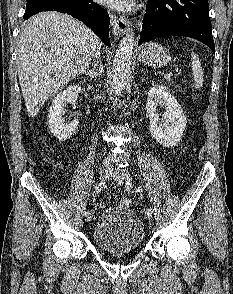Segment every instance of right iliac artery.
Masks as SVG:
<instances>
[{
  "mask_svg": "<svg viewBox=\"0 0 233 294\" xmlns=\"http://www.w3.org/2000/svg\"><path fill=\"white\" fill-rule=\"evenodd\" d=\"M105 182H101L98 185L95 186V191L100 192L104 188ZM90 214V211L85 212V216H88Z\"/></svg>",
  "mask_w": 233,
  "mask_h": 294,
  "instance_id": "right-iliac-artery-1",
  "label": "right iliac artery"
}]
</instances>
